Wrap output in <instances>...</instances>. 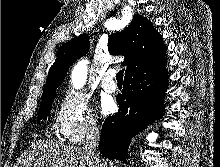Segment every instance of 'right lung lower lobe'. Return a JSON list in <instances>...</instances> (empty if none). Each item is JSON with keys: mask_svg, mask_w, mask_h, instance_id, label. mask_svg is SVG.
I'll return each instance as SVG.
<instances>
[{"mask_svg": "<svg viewBox=\"0 0 220 167\" xmlns=\"http://www.w3.org/2000/svg\"><path fill=\"white\" fill-rule=\"evenodd\" d=\"M165 62L125 76L122 94L117 95L119 111L105 120L99 149L111 160L126 162L131 138L162 114L168 75Z\"/></svg>", "mask_w": 220, "mask_h": 167, "instance_id": "98d812e1", "label": "right lung lower lobe"}]
</instances>
